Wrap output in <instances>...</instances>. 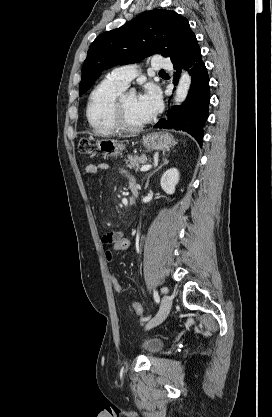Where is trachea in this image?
<instances>
[{"instance_id":"trachea-1","label":"trachea","mask_w":272,"mask_h":417,"mask_svg":"<svg viewBox=\"0 0 272 417\" xmlns=\"http://www.w3.org/2000/svg\"><path fill=\"white\" fill-rule=\"evenodd\" d=\"M160 73H165V71L164 70H161Z\"/></svg>"}]
</instances>
